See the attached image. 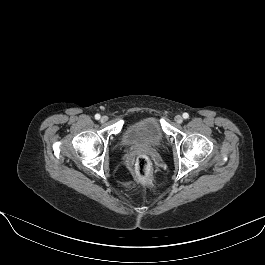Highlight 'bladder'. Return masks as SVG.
I'll use <instances>...</instances> for the list:
<instances>
[{
  "instance_id": "31cf9c89",
  "label": "bladder",
  "mask_w": 265,
  "mask_h": 265,
  "mask_svg": "<svg viewBox=\"0 0 265 265\" xmlns=\"http://www.w3.org/2000/svg\"><path fill=\"white\" fill-rule=\"evenodd\" d=\"M162 140V128L155 117H146L129 123L122 134L123 143L129 146H155Z\"/></svg>"
}]
</instances>
